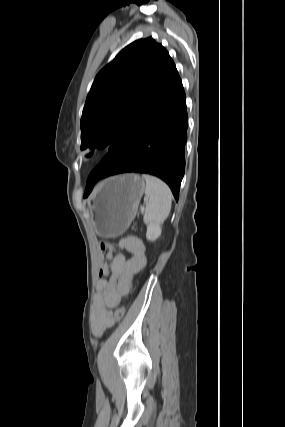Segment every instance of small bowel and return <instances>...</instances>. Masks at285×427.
<instances>
[{"label":"small bowel","mask_w":285,"mask_h":427,"mask_svg":"<svg viewBox=\"0 0 285 427\" xmlns=\"http://www.w3.org/2000/svg\"><path fill=\"white\" fill-rule=\"evenodd\" d=\"M121 246L130 253V258L117 255L113 259L108 278L97 283L93 296L92 329L97 337L111 327L112 310L130 292L134 275L146 265L145 245L141 239L127 237Z\"/></svg>","instance_id":"c3829d8e"}]
</instances>
